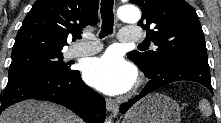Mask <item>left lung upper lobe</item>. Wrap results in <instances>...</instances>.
I'll return each mask as SVG.
<instances>
[{
	"mask_svg": "<svg viewBox=\"0 0 221 123\" xmlns=\"http://www.w3.org/2000/svg\"><path fill=\"white\" fill-rule=\"evenodd\" d=\"M142 10L138 25L147 30L155 50L131 51L127 57L151 72L180 60L207 61V49L195 9L185 0H130Z\"/></svg>",
	"mask_w": 221,
	"mask_h": 123,
	"instance_id": "1",
	"label": "left lung upper lobe"
}]
</instances>
